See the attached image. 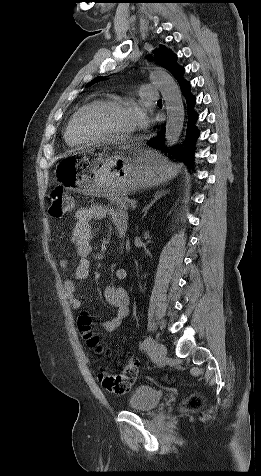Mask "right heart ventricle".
I'll return each instance as SVG.
<instances>
[{
	"label": "right heart ventricle",
	"mask_w": 261,
	"mask_h": 476,
	"mask_svg": "<svg viewBox=\"0 0 261 476\" xmlns=\"http://www.w3.org/2000/svg\"><path fill=\"white\" fill-rule=\"evenodd\" d=\"M76 113H74L68 121L66 130H65V140L68 145L72 147H78L84 145L86 142L79 138L74 128V119Z\"/></svg>",
	"instance_id": "1"
}]
</instances>
